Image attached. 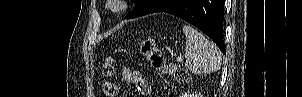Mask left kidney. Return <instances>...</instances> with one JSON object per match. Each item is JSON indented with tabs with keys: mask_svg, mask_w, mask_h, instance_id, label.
<instances>
[{
	"mask_svg": "<svg viewBox=\"0 0 302 97\" xmlns=\"http://www.w3.org/2000/svg\"><path fill=\"white\" fill-rule=\"evenodd\" d=\"M182 97H202V95H200V94L194 95V94H190V93H185L182 95Z\"/></svg>",
	"mask_w": 302,
	"mask_h": 97,
	"instance_id": "obj_1",
	"label": "left kidney"
}]
</instances>
